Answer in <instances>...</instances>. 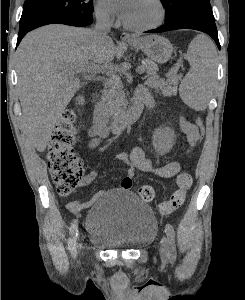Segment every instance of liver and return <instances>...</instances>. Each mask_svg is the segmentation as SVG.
<instances>
[{
    "label": "liver",
    "instance_id": "liver-1",
    "mask_svg": "<svg viewBox=\"0 0 245 300\" xmlns=\"http://www.w3.org/2000/svg\"><path fill=\"white\" fill-rule=\"evenodd\" d=\"M111 38L99 42L86 28L51 24L28 33L17 50L19 99L27 135L39 152L78 91L74 75L114 59Z\"/></svg>",
    "mask_w": 245,
    "mask_h": 300
}]
</instances>
